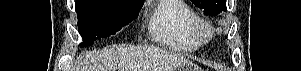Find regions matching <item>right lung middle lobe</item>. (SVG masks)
Segmentation results:
<instances>
[{"mask_svg":"<svg viewBox=\"0 0 301 71\" xmlns=\"http://www.w3.org/2000/svg\"><path fill=\"white\" fill-rule=\"evenodd\" d=\"M143 0H77L78 31L82 47L95 40L115 34L134 20Z\"/></svg>","mask_w":301,"mask_h":71,"instance_id":"right-lung-middle-lobe-1","label":"right lung middle lobe"}]
</instances>
